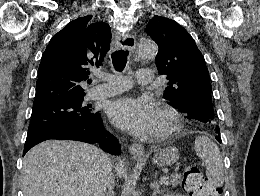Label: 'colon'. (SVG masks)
Here are the masks:
<instances>
[{
  "label": "colon",
  "mask_w": 260,
  "mask_h": 196,
  "mask_svg": "<svg viewBox=\"0 0 260 196\" xmlns=\"http://www.w3.org/2000/svg\"><path fill=\"white\" fill-rule=\"evenodd\" d=\"M185 189L188 192H196L207 186V179L200 168L193 163H187L183 170Z\"/></svg>",
  "instance_id": "5ec220e1"
}]
</instances>
